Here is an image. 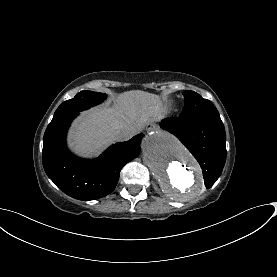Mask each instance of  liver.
<instances>
[{
  "instance_id": "1",
  "label": "liver",
  "mask_w": 277,
  "mask_h": 277,
  "mask_svg": "<svg viewBox=\"0 0 277 277\" xmlns=\"http://www.w3.org/2000/svg\"><path fill=\"white\" fill-rule=\"evenodd\" d=\"M161 110L157 96L130 91L120 96L116 109L99 108L85 113L71 134L75 148L82 153H93L113 141V133L124 127L142 129L150 119L156 120Z\"/></svg>"
}]
</instances>
